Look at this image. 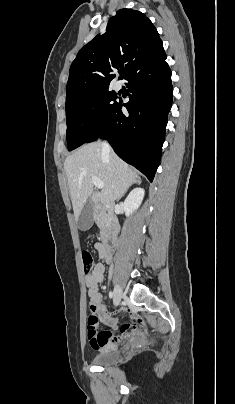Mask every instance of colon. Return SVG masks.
I'll list each match as a JSON object with an SVG mask.
<instances>
[{"label":"colon","mask_w":235,"mask_h":404,"mask_svg":"<svg viewBox=\"0 0 235 404\" xmlns=\"http://www.w3.org/2000/svg\"><path fill=\"white\" fill-rule=\"evenodd\" d=\"M81 260L83 265V270L85 274H89L93 269L94 259L90 251L83 250L81 252ZM88 323V330L92 333L96 332L97 324H98V317L95 314H91L87 320Z\"/></svg>","instance_id":"1"}]
</instances>
